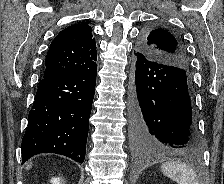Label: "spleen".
<instances>
[{
  "instance_id": "obj_1",
  "label": "spleen",
  "mask_w": 224,
  "mask_h": 184,
  "mask_svg": "<svg viewBox=\"0 0 224 184\" xmlns=\"http://www.w3.org/2000/svg\"><path fill=\"white\" fill-rule=\"evenodd\" d=\"M161 170L177 184H199L196 173L185 164L167 162L161 165Z\"/></svg>"
}]
</instances>
